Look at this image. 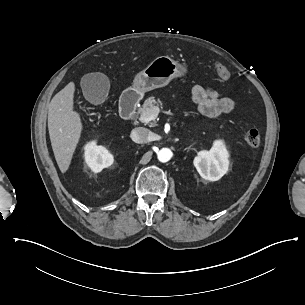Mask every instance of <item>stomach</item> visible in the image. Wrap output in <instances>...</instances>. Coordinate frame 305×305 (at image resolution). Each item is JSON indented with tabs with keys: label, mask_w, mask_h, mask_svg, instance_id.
<instances>
[{
	"label": "stomach",
	"mask_w": 305,
	"mask_h": 305,
	"mask_svg": "<svg viewBox=\"0 0 305 305\" xmlns=\"http://www.w3.org/2000/svg\"><path fill=\"white\" fill-rule=\"evenodd\" d=\"M189 72L187 64H181L169 56L155 58L143 71L136 74L129 91V100L138 104L146 92L167 86L172 79L185 78Z\"/></svg>",
	"instance_id": "1"
}]
</instances>
